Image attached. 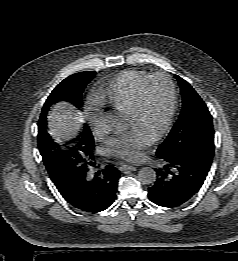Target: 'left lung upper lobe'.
<instances>
[{"label": "left lung upper lobe", "instance_id": "obj_1", "mask_svg": "<svg viewBox=\"0 0 238 261\" xmlns=\"http://www.w3.org/2000/svg\"><path fill=\"white\" fill-rule=\"evenodd\" d=\"M175 77L180 85L182 109L156 154L159 158L194 157L211 163L215 148L212 116L193 87L181 77Z\"/></svg>", "mask_w": 238, "mask_h": 261}]
</instances>
